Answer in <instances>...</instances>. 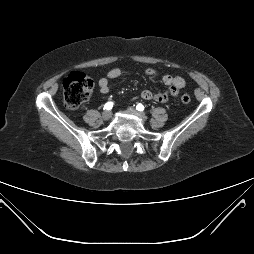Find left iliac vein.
Returning a JSON list of instances; mask_svg holds the SVG:
<instances>
[{
    "label": "left iliac vein",
    "mask_w": 254,
    "mask_h": 254,
    "mask_svg": "<svg viewBox=\"0 0 254 254\" xmlns=\"http://www.w3.org/2000/svg\"><path fill=\"white\" fill-rule=\"evenodd\" d=\"M128 111L134 113L138 118H140L142 121H146L147 117L143 112H139L136 109H134L133 107H129Z\"/></svg>",
    "instance_id": "left-iliac-vein-1"
}]
</instances>
